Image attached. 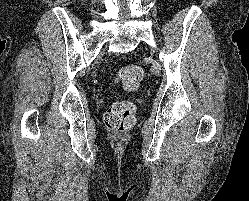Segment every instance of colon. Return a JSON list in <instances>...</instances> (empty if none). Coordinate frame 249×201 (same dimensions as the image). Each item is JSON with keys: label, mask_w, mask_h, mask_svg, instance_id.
<instances>
[{"label": "colon", "mask_w": 249, "mask_h": 201, "mask_svg": "<svg viewBox=\"0 0 249 201\" xmlns=\"http://www.w3.org/2000/svg\"><path fill=\"white\" fill-rule=\"evenodd\" d=\"M143 78L142 70L136 65H128L118 71L115 81L127 90L138 88ZM135 122V106L129 101L113 103L104 115V123L108 130L123 133L130 130Z\"/></svg>", "instance_id": "5ec220e1"}]
</instances>
